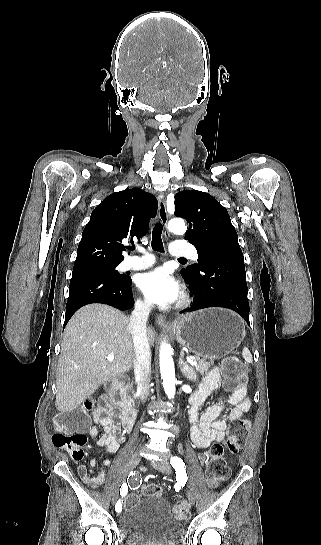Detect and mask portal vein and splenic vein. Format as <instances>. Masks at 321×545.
Wrapping results in <instances>:
<instances>
[{"label": "portal vein and splenic vein", "mask_w": 321, "mask_h": 545, "mask_svg": "<svg viewBox=\"0 0 321 545\" xmlns=\"http://www.w3.org/2000/svg\"><path fill=\"white\" fill-rule=\"evenodd\" d=\"M195 355L189 356V359H194ZM107 361L111 363V361H114V355H107Z\"/></svg>", "instance_id": "18ae733b"}]
</instances>
